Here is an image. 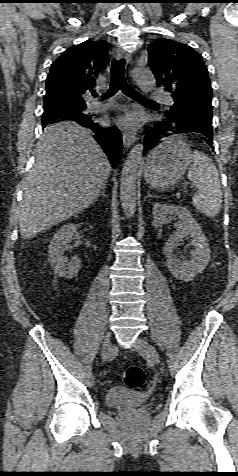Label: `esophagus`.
<instances>
[{"label": "esophagus", "instance_id": "34e87169", "mask_svg": "<svg viewBox=\"0 0 238 476\" xmlns=\"http://www.w3.org/2000/svg\"><path fill=\"white\" fill-rule=\"evenodd\" d=\"M114 56L117 59H121L125 57L127 63H129L130 61L129 56L125 55L124 51L121 48H117L115 50ZM122 138H123L124 147H130L137 139L136 134L134 132H129V131H123Z\"/></svg>", "mask_w": 238, "mask_h": 476}]
</instances>
